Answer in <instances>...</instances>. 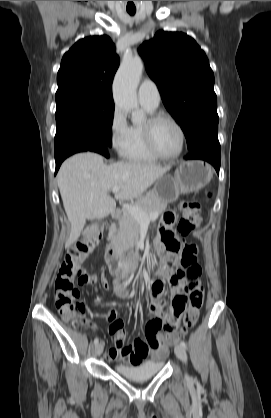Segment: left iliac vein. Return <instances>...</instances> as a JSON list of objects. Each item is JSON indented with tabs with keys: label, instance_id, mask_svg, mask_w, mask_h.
<instances>
[{
	"label": "left iliac vein",
	"instance_id": "obj_1",
	"mask_svg": "<svg viewBox=\"0 0 271 418\" xmlns=\"http://www.w3.org/2000/svg\"><path fill=\"white\" fill-rule=\"evenodd\" d=\"M176 356L184 363L187 362V354L185 349L181 345H176L174 348Z\"/></svg>",
	"mask_w": 271,
	"mask_h": 418
}]
</instances>
